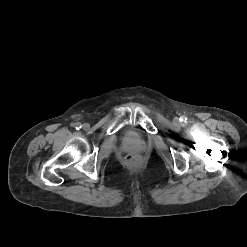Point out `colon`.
Returning a JSON list of instances; mask_svg holds the SVG:
<instances>
[{"mask_svg":"<svg viewBox=\"0 0 247 247\" xmlns=\"http://www.w3.org/2000/svg\"><path fill=\"white\" fill-rule=\"evenodd\" d=\"M127 161L129 162V163H136L137 162V158H136V156H134V155H129L128 157H127Z\"/></svg>","mask_w":247,"mask_h":247,"instance_id":"5ec220e1","label":"colon"}]
</instances>
